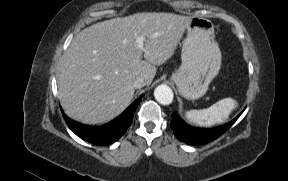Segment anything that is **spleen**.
Here are the masks:
<instances>
[{"mask_svg": "<svg viewBox=\"0 0 288 181\" xmlns=\"http://www.w3.org/2000/svg\"><path fill=\"white\" fill-rule=\"evenodd\" d=\"M236 107L237 102L234 99L224 98L209 108L187 111L186 118L194 124L210 127L224 123Z\"/></svg>", "mask_w": 288, "mask_h": 181, "instance_id": "1", "label": "spleen"}]
</instances>
